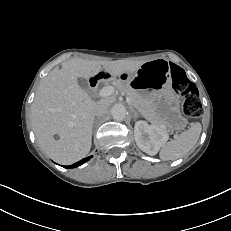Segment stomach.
Returning <instances> with one entry per match:
<instances>
[{"instance_id":"obj_1","label":"stomach","mask_w":231,"mask_h":231,"mask_svg":"<svg viewBox=\"0 0 231 231\" xmlns=\"http://www.w3.org/2000/svg\"><path fill=\"white\" fill-rule=\"evenodd\" d=\"M128 79L137 92L149 99L163 126L173 130H183L187 126V119L180 112L179 96L172 89L166 60L146 61Z\"/></svg>"}]
</instances>
